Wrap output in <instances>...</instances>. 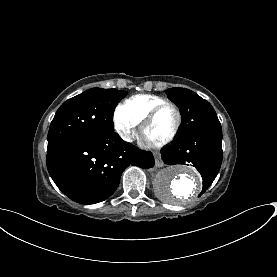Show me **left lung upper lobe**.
<instances>
[{"instance_id":"obj_1","label":"left lung upper lobe","mask_w":277,"mask_h":277,"mask_svg":"<svg viewBox=\"0 0 277 277\" xmlns=\"http://www.w3.org/2000/svg\"><path fill=\"white\" fill-rule=\"evenodd\" d=\"M168 98L180 109L182 127L179 137L200 130L221 128L217 115L205 99L186 88H171L166 90Z\"/></svg>"}]
</instances>
